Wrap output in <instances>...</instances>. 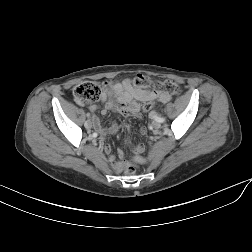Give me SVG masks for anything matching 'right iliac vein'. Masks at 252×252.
Masks as SVG:
<instances>
[{
  "mask_svg": "<svg viewBox=\"0 0 252 252\" xmlns=\"http://www.w3.org/2000/svg\"><path fill=\"white\" fill-rule=\"evenodd\" d=\"M84 125H85V128H86V129H91V128H92V123H91V121H86Z\"/></svg>",
  "mask_w": 252,
  "mask_h": 252,
  "instance_id": "obj_1",
  "label": "right iliac vein"
}]
</instances>
